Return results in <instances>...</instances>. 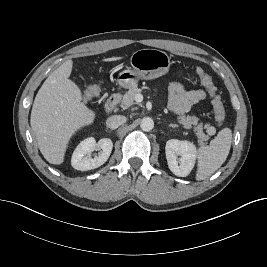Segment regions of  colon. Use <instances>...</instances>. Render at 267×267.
Returning a JSON list of instances; mask_svg holds the SVG:
<instances>
[{
	"instance_id": "1",
	"label": "colon",
	"mask_w": 267,
	"mask_h": 267,
	"mask_svg": "<svg viewBox=\"0 0 267 267\" xmlns=\"http://www.w3.org/2000/svg\"><path fill=\"white\" fill-rule=\"evenodd\" d=\"M197 73L200 77L201 84L206 87L209 95L212 99V106L216 122L221 125L225 121L226 112L223 101L217 93V89L213 84L212 78L205 73L202 69H198ZM100 93V87L98 85H90L84 91V98L90 100Z\"/></svg>"
}]
</instances>
